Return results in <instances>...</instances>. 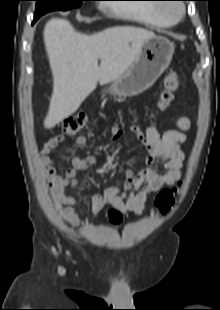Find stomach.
<instances>
[{"label":"stomach","instance_id":"obj_1","mask_svg":"<svg viewBox=\"0 0 220 310\" xmlns=\"http://www.w3.org/2000/svg\"><path fill=\"white\" fill-rule=\"evenodd\" d=\"M173 53L174 45L166 37L148 39L132 65L112 81L104 92L119 97H132L144 92L167 69Z\"/></svg>","mask_w":220,"mask_h":310}]
</instances>
